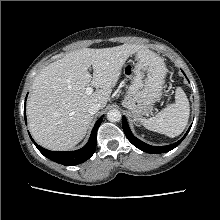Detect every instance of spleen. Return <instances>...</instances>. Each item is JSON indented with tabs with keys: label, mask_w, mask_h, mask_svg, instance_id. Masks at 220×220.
<instances>
[{
	"label": "spleen",
	"mask_w": 220,
	"mask_h": 220,
	"mask_svg": "<svg viewBox=\"0 0 220 220\" xmlns=\"http://www.w3.org/2000/svg\"><path fill=\"white\" fill-rule=\"evenodd\" d=\"M189 115L188 98L182 88L178 87L175 92L174 104H170L154 117L148 119L141 118L140 120L146 129L173 138L183 132L188 123Z\"/></svg>",
	"instance_id": "spleen-1"
}]
</instances>
